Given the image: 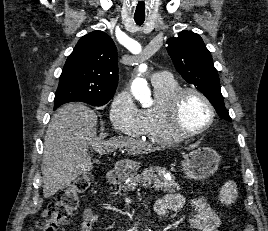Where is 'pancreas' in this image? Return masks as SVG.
I'll return each instance as SVG.
<instances>
[{"label":"pancreas","instance_id":"pancreas-1","mask_svg":"<svg viewBox=\"0 0 268 231\" xmlns=\"http://www.w3.org/2000/svg\"><path fill=\"white\" fill-rule=\"evenodd\" d=\"M167 173L165 169L155 166L145 169L140 175H134L130 177L129 182L124 183L119 187L118 193L121 195V191L124 195L128 190H134L137 186H151L157 190L175 192L180 190V186L175 182L174 177H166Z\"/></svg>","mask_w":268,"mask_h":231}]
</instances>
